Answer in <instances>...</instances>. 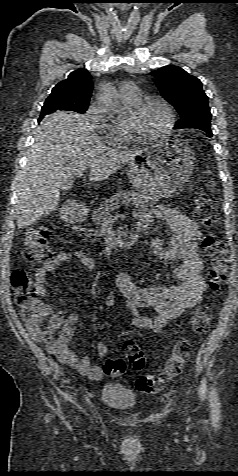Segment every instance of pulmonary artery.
Returning a JSON list of instances; mask_svg holds the SVG:
<instances>
[{
	"label": "pulmonary artery",
	"instance_id": "e3ab8cb5",
	"mask_svg": "<svg viewBox=\"0 0 238 476\" xmlns=\"http://www.w3.org/2000/svg\"><path fill=\"white\" fill-rule=\"evenodd\" d=\"M120 94L123 99L136 101L140 98V90L133 82H124L120 86Z\"/></svg>",
	"mask_w": 238,
	"mask_h": 476
}]
</instances>
